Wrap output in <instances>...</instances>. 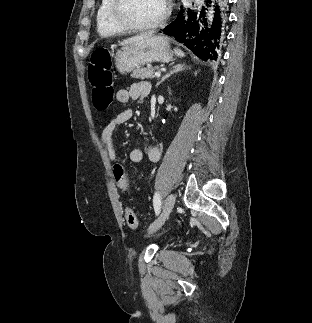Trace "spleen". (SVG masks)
Masks as SVG:
<instances>
[{"label": "spleen", "instance_id": "1", "mask_svg": "<svg viewBox=\"0 0 312 323\" xmlns=\"http://www.w3.org/2000/svg\"><path fill=\"white\" fill-rule=\"evenodd\" d=\"M176 56H180V58H184L185 54L182 52V50H178V48H175L174 50Z\"/></svg>", "mask_w": 312, "mask_h": 323}]
</instances>
